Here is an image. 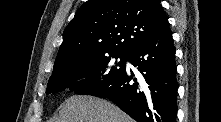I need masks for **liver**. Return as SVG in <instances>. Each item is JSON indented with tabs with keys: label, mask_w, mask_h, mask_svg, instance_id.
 Here are the masks:
<instances>
[{
	"label": "liver",
	"mask_w": 221,
	"mask_h": 122,
	"mask_svg": "<svg viewBox=\"0 0 221 122\" xmlns=\"http://www.w3.org/2000/svg\"><path fill=\"white\" fill-rule=\"evenodd\" d=\"M57 122H132V119L107 100L74 95L62 104Z\"/></svg>",
	"instance_id": "1"
}]
</instances>
